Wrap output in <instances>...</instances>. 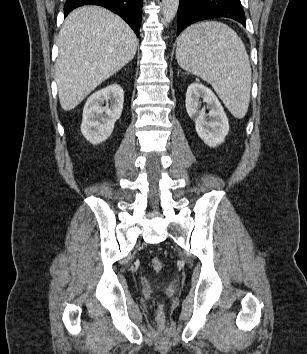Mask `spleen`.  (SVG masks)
<instances>
[{
  "label": "spleen",
  "instance_id": "obj_1",
  "mask_svg": "<svg viewBox=\"0 0 307 354\" xmlns=\"http://www.w3.org/2000/svg\"><path fill=\"white\" fill-rule=\"evenodd\" d=\"M179 66L211 84L235 118L249 107L251 67L245 46L227 25L207 21L191 25L177 40Z\"/></svg>",
  "mask_w": 307,
  "mask_h": 354
}]
</instances>
